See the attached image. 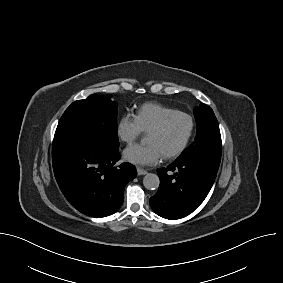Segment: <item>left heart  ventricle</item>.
<instances>
[{"label": "left heart ventricle", "mask_w": 283, "mask_h": 283, "mask_svg": "<svg viewBox=\"0 0 283 283\" xmlns=\"http://www.w3.org/2000/svg\"><path fill=\"white\" fill-rule=\"evenodd\" d=\"M188 132L189 121L184 117H176L162 132L149 133L146 141L156 145L162 154H166L177 149L185 140Z\"/></svg>", "instance_id": "b2bd125f"}]
</instances>
